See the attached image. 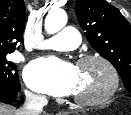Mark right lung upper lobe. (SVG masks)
Instances as JSON below:
<instances>
[{"instance_id":"obj_1","label":"right lung upper lobe","mask_w":131,"mask_h":115,"mask_svg":"<svg viewBox=\"0 0 131 115\" xmlns=\"http://www.w3.org/2000/svg\"><path fill=\"white\" fill-rule=\"evenodd\" d=\"M25 18L23 0H0V53L16 49L23 37Z\"/></svg>"}]
</instances>
